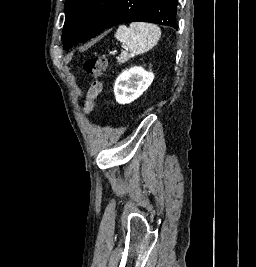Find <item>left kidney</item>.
Wrapping results in <instances>:
<instances>
[{"instance_id": "1", "label": "left kidney", "mask_w": 256, "mask_h": 267, "mask_svg": "<svg viewBox=\"0 0 256 267\" xmlns=\"http://www.w3.org/2000/svg\"><path fill=\"white\" fill-rule=\"evenodd\" d=\"M154 80L152 72H146L140 66H133L130 70H124L118 76L115 86L114 94L116 102L119 104H130L142 96L145 90H148Z\"/></svg>"}]
</instances>
